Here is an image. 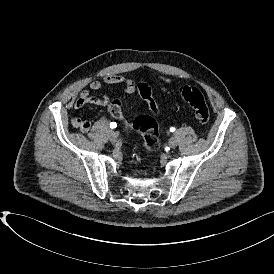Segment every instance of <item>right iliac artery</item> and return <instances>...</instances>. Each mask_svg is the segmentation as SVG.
Returning <instances> with one entry per match:
<instances>
[{"instance_id": "obj_1", "label": "right iliac artery", "mask_w": 274, "mask_h": 274, "mask_svg": "<svg viewBox=\"0 0 274 274\" xmlns=\"http://www.w3.org/2000/svg\"><path fill=\"white\" fill-rule=\"evenodd\" d=\"M116 127H117L116 122H111V123H110V128L114 129V128H116Z\"/></svg>"}]
</instances>
